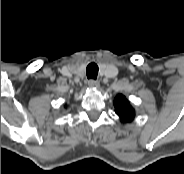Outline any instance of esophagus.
Masks as SVG:
<instances>
[{
    "mask_svg": "<svg viewBox=\"0 0 184 174\" xmlns=\"http://www.w3.org/2000/svg\"><path fill=\"white\" fill-rule=\"evenodd\" d=\"M88 85L90 88H98L100 84L97 80L91 79L88 81Z\"/></svg>",
    "mask_w": 184,
    "mask_h": 174,
    "instance_id": "1",
    "label": "esophagus"
}]
</instances>
